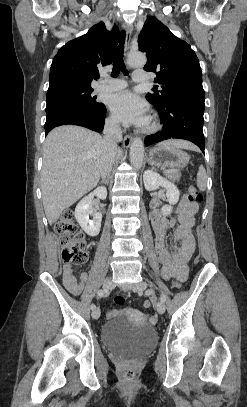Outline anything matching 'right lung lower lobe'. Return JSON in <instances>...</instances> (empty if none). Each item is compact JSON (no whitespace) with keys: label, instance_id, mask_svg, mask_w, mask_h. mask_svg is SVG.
<instances>
[{"label":"right lung lower lobe","instance_id":"obj_1","mask_svg":"<svg viewBox=\"0 0 247 407\" xmlns=\"http://www.w3.org/2000/svg\"><path fill=\"white\" fill-rule=\"evenodd\" d=\"M106 107L102 104L96 110L80 108H63L46 113V135L54 127L64 124H74L86 127L96 132H101L104 126Z\"/></svg>","mask_w":247,"mask_h":407}]
</instances>
